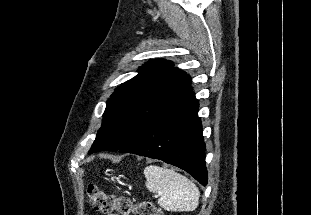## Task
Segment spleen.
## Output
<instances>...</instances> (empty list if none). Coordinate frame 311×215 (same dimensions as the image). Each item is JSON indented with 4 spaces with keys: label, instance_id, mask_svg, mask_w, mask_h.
<instances>
[{
    "label": "spleen",
    "instance_id": "1",
    "mask_svg": "<svg viewBox=\"0 0 311 215\" xmlns=\"http://www.w3.org/2000/svg\"><path fill=\"white\" fill-rule=\"evenodd\" d=\"M146 187L158 193V204L167 211H194L199 204L198 187L186 176L172 169L150 165L144 170Z\"/></svg>",
    "mask_w": 311,
    "mask_h": 215
}]
</instances>
